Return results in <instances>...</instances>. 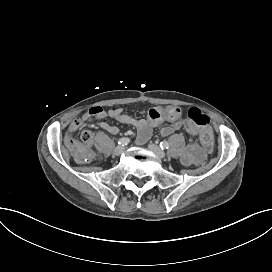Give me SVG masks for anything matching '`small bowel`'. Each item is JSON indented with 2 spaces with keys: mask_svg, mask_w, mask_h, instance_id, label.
<instances>
[{
  "mask_svg": "<svg viewBox=\"0 0 272 272\" xmlns=\"http://www.w3.org/2000/svg\"><path fill=\"white\" fill-rule=\"evenodd\" d=\"M181 109L179 107H160L151 108L148 111L147 118H135L123 111L121 108L106 110L100 106L90 107L81 117L76 118L70 125V133H74L84 123H95L108 133L115 135L119 132V128L111 125L104 120L112 118L119 123L131 125L138 131L137 140L143 143L151 136L152 128L161 126V135L170 136L174 132L185 127L186 121L181 117ZM92 134L90 131H85ZM71 134L67 135L66 140L71 138ZM203 154L194 142H189L182 153L183 163L187 166L197 165L201 163Z\"/></svg>",
  "mask_w": 272,
  "mask_h": 272,
  "instance_id": "obj_1",
  "label": "small bowel"
}]
</instances>
